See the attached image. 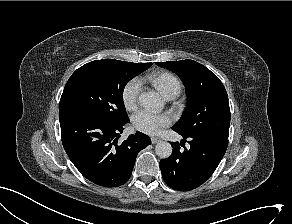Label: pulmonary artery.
Here are the masks:
<instances>
[{
	"label": "pulmonary artery",
	"instance_id": "pulmonary-artery-1",
	"mask_svg": "<svg viewBox=\"0 0 292 224\" xmlns=\"http://www.w3.org/2000/svg\"><path fill=\"white\" fill-rule=\"evenodd\" d=\"M173 98H174V97H167L168 100H171V99H173Z\"/></svg>",
	"mask_w": 292,
	"mask_h": 224
}]
</instances>
